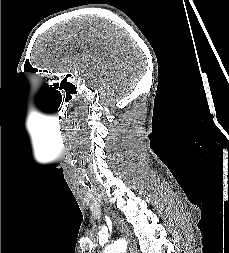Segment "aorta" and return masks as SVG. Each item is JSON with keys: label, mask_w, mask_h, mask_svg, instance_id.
I'll return each mask as SVG.
<instances>
[{"label": "aorta", "mask_w": 229, "mask_h": 253, "mask_svg": "<svg viewBox=\"0 0 229 253\" xmlns=\"http://www.w3.org/2000/svg\"><path fill=\"white\" fill-rule=\"evenodd\" d=\"M127 244L124 240H118L107 246L103 253H126Z\"/></svg>", "instance_id": "762f6f07"}]
</instances>
